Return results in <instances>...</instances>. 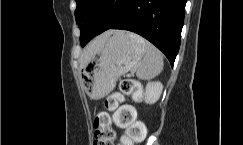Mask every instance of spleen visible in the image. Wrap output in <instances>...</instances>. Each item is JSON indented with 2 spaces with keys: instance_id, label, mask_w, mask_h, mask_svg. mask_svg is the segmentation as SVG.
<instances>
[{
  "instance_id": "spleen-1",
  "label": "spleen",
  "mask_w": 243,
  "mask_h": 145,
  "mask_svg": "<svg viewBox=\"0 0 243 145\" xmlns=\"http://www.w3.org/2000/svg\"><path fill=\"white\" fill-rule=\"evenodd\" d=\"M140 41L144 44L145 53L143 60L138 64L136 76L141 80H150L163 70V57L154 45L142 38Z\"/></svg>"
}]
</instances>
